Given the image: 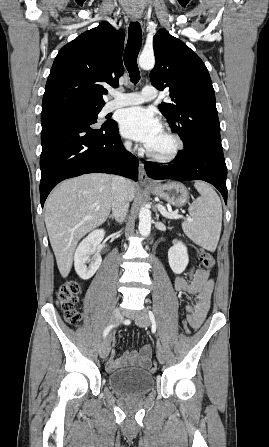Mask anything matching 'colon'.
Segmentation results:
<instances>
[{
  "label": "colon",
  "instance_id": "1",
  "mask_svg": "<svg viewBox=\"0 0 269 447\" xmlns=\"http://www.w3.org/2000/svg\"><path fill=\"white\" fill-rule=\"evenodd\" d=\"M198 259L201 266L206 270H212L215 265L214 256L205 250H200L198 252ZM81 291V285L76 281L68 282L62 285L56 294L57 305L62 311L66 321L74 326L79 327L82 324L83 318L78 310L77 306V295ZM188 320L183 318L180 322V327L184 328L186 335H193V330H189V325H187ZM142 353L144 355H150V348H143ZM144 369L149 372H155L157 370V364L155 362H147Z\"/></svg>",
  "mask_w": 269,
  "mask_h": 447
}]
</instances>
